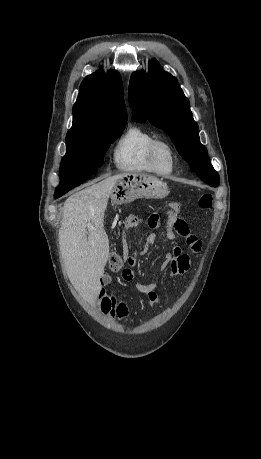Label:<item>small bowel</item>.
<instances>
[{"label": "small bowel", "instance_id": "1", "mask_svg": "<svg viewBox=\"0 0 261 459\" xmlns=\"http://www.w3.org/2000/svg\"><path fill=\"white\" fill-rule=\"evenodd\" d=\"M142 219L137 216L130 215L128 216L123 224V229L125 231L132 228L138 227L142 224ZM177 235L183 237L189 247L197 252L201 248V243L198 238L193 235L187 224L183 229H180L176 222L172 219H169L166 230L165 238L168 241H173ZM158 240L156 233H150L146 238V245L143 252L148 251V247L152 244H155ZM129 264L132 266L135 263L134 258H127ZM169 268L171 275L176 278L184 273H186L190 268V256L182 252L180 247L174 246L172 251L165 256L164 261L161 263L159 270L164 271ZM121 278L125 282H134V273L131 268H125L121 273ZM112 281V276L105 274L101 278V283L103 286L108 285ZM135 287L139 292L144 294L150 303L151 306L157 307L160 304L159 296L156 292V283L150 282L147 284L134 282ZM98 305L101 311L110 318H118L121 321H125L129 314V306L125 300L119 299L113 294L107 292L105 288H102L98 295Z\"/></svg>", "mask_w": 261, "mask_h": 459}]
</instances>
